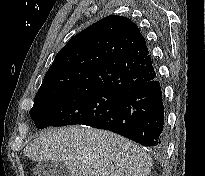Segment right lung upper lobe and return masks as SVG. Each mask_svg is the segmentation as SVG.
Segmentation results:
<instances>
[{"instance_id":"cb5924a9","label":"right lung upper lobe","mask_w":205,"mask_h":176,"mask_svg":"<svg viewBox=\"0 0 205 176\" xmlns=\"http://www.w3.org/2000/svg\"><path fill=\"white\" fill-rule=\"evenodd\" d=\"M157 77L146 41L129 18L108 16L58 52L36 96L102 88L125 94Z\"/></svg>"}]
</instances>
